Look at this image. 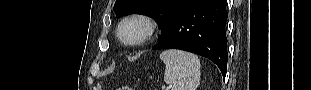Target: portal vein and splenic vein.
I'll return each instance as SVG.
<instances>
[{
	"label": "portal vein and splenic vein",
	"mask_w": 311,
	"mask_h": 90,
	"mask_svg": "<svg viewBox=\"0 0 311 90\" xmlns=\"http://www.w3.org/2000/svg\"><path fill=\"white\" fill-rule=\"evenodd\" d=\"M165 89L169 90V89H170V87H167V88H165Z\"/></svg>",
	"instance_id": "obj_1"
}]
</instances>
